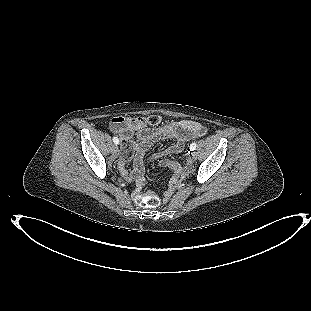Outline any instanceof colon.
Returning a JSON list of instances; mask_svg holds the SVG:
<instances>
[{"instance_id": "5ec220e1", "label": "colon", "mask_w": 311, "mask_h": 311, "mask_svg": "<svg viewBox=\"0 0 311 311\" xmlns=\"http://www.w3.org/2000/svg\"><path fill=\"white\" fill-rule=\"evenodd\" d=\"M142 122L144 125L156 126L161 122V117L158 115H150L142 119ZM136 202L139 206L142 207L155 208L161 204V199L157 194L148 192L146 194L138 195Z\"/></svg>"}]
</instances>
